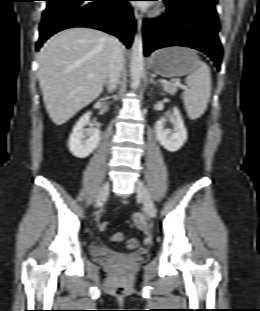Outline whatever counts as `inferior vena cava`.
<instances>
[{"mask_svg": "<svg viewBox=\"0 0 260 311\" xmlns=\"http://www.w3.org/2000/svg\"><path fill=\"white\" fill-rule=\"evenodd\" d=\"M123 49L122 43L115 37L112 38V49L108 58V69H107V85L108 91L112 92L115 90L120 73L123 66Z\"/></svg>", "mask_w": 260, "mask_h": 311, "instance_id": "602c4592", "label": "inferior vena cava"}]
</instances>
